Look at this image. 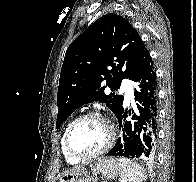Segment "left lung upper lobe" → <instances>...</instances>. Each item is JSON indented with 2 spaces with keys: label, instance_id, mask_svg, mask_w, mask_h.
<instances>
[{
  "label": "left lung upper lobe",
  "instance_id": "5c2ea615",
  "mask_svg": "<svg viewBox=\"0 0 196 182\" xmlns=\"http://www.w3.org/2000/svg\"><path fill=\"white\" fill-rule=\"evenodd\" d=\"M149 60L138 32L124 17L114 13L100 17L66 51L57 94V129L78 107L94 101L105 103L117 117L123 96L106 95L105 88L118 90L123 78L134 81Z\"/></svg>",
  "mask_w": 196,
  "mask_h": 182
}]
</instances>
